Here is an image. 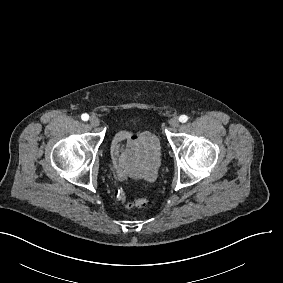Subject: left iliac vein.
<instances>
[{
    "instance_id": "1",
    "label": "left iliac vein",
    "mask_w": 283,
    "mask_h": 283,
    "mask_svg": "<svg viewBox=\"0 0 283 283\" xmlns=\"http://www.w3.org/2000/svg\"><path fill=\"white\" fill-rule=\"evenodd\" d=\"M169 125L172 127V128H177L179 126V119L178 117H172L170 120H169Z\"/></svg>"
}]
</instances>
